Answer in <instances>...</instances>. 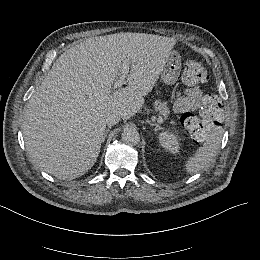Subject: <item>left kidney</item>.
I'll use <instances>...</instances> for the list:
<instances>
[{
  "label": "left kidney",
  "mask_w": 260,
  "mask_h": 260,
  "mask_svg": "<svg viewBox=\"0 0 260 260\" xmlns=\"http://www.w3.org/2000/svg\"><path fill=\"white\" fill-rule=\"evenodd\" d=\"M159 141L167 151L175 153L178 150L177 137L170 132H162L159 135Z\"/></svg>",
  "instance_id": "left-kidney-1"
}]
</instances>
